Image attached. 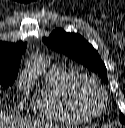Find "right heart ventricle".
I'll return each mask as SVG.
<instances>
[{"label":"right heart ventricle","mask_w":125,"mask_h":128,"mask_svg":"<svg viewBox=\"0 0 125 128\" xmlns=\"http://www.w3.org/2000/svg\"><path fill=\"white\" fill-rule=\"evenodd\" d=\"M80 75L61 65H53L32 100V111L39 116L79 124L89 118L77 105L72 86Z\"/></svg>","instance_id":"1"}]
</instances>
